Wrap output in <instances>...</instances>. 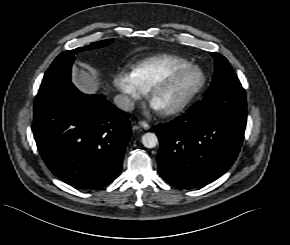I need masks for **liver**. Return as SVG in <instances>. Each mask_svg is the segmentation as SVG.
<instances>
[{"instance_id":"liver-1","label":"liver","mask_w":290,"mask_h":245,"mask_svg":"<svg viewBox=\"0 0 290 245\" xmlns=\"http://www.w3.org/2000/svg\"><path fill=\"white\" fill-rule=\"evenodd\" d=\"M73 83L86 94H94L101 87L97 73L89 67L75 68L73 72Z\"/></svg>"}]
</instances>
